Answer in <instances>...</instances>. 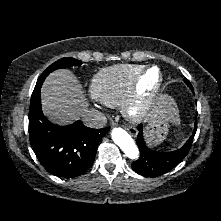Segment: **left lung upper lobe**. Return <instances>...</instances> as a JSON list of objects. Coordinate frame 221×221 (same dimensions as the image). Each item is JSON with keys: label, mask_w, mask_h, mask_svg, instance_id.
<instances>
[{"label": "left lung upper lobe", "mask_w": 221, "mask_h": 221, "mask_svg": "<svg viewBox=\"0 0 221 221\" xmlns=\"http://www.w3.org/2000/svg\"><path fill=\"white\" fill-rule=\"evenodd\" d=\"M184 81L186 82V84L192 89L191 83L185 78Z\"/></svg>", "instance_id": "5c2ea615"}]
</instances>
